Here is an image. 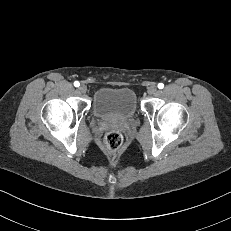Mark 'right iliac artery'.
Listing matches in <instances>:
<instances>
[{
	"label": "right iliac artery",
	"mask_w": 231,
	"mask_h": 231,
	"mask_svg": "<svg viewBox=\"0 0 231 231\" xmlns=\"http://www.w3.org/2000/svg\"><path fill=\"white\" fill-rule=\"evenodd\" d=\"M79 85H80V84H79L78 81H75V82H74V86H75V87H78Z\"/></svg>",
	"instance_id": "1"
}]
</instances>
